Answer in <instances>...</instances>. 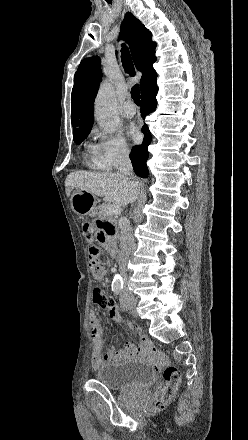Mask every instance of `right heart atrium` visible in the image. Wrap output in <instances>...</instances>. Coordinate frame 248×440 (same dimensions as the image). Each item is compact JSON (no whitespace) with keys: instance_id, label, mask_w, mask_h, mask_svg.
<instances>
[{"instance_id":"obj_1","label":"right heart atrium","mask_w":248,"mask_h":440,"mask_svg":"<svg viewBox=\"0 0 248 440\" xmlns=\"http://www.w3.org/2000/svg\"><path fill=\"white\" fill-rule=\"evenodd\" d=\"M97 142L93 146V163L102 170H111L128 159L130 148L124 137L117 133L93 131Z\"/></svg>"}]
</instances>
